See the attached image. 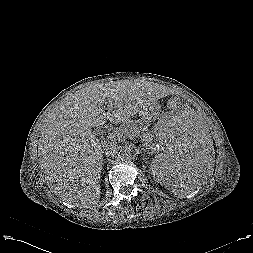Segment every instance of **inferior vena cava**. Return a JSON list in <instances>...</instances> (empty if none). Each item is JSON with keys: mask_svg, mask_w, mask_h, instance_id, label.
Instances as JSON below:
<instances>
[{"mask_svg": "<svg viewBox=\"0 0 253 253\" xmlns=\"http://www.w3.org/2000/svg\"><path fill=\"white\" fill-rule=\"evenodd\" d=\"M117 152V145L114 142H109L103 146L102 153L107 157Z\"/></svg>", "mask_w": 253, "mask_h": 253, "instance_id": "obj_1", "label": "inferior vena cava"}]
</instances>
